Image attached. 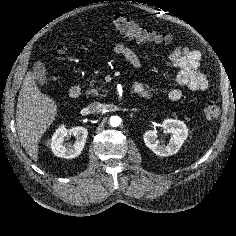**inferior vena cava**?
Listing matches in <instances>:
<instances>
[{"label":"inferior vena cava","instance_id":"obj_1","mask_svg":"<svg viewBox=\"0 0 236 236\" xmlns=\"http://www.w3.org/2000/svg\"><path fill=\"white\" fill-rule=\"evenodd\" d=\"M87 110L92 114L100 113L103 110V104L100 102H93L87 106Z\"/></svg>","mask_w":236,"mask_h":236}]
</instances>
